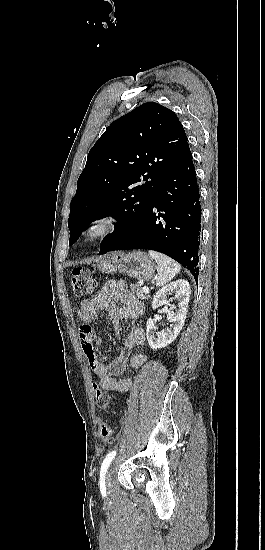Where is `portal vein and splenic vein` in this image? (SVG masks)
Masks as SVG:
<instances>
[{"instance_id":"18ae733b","label":"portal vein and splenic vein","mask_w":265,"mask_h":550,"mask_svg":"<svg viewBox=\"0 0 265 550\" xmlns=\"http://www.w3.org/2000/svg\"><path fill=\"white\" fill-rule=\"evenodd\" d=\"M143 292H144L145 294H148V293H149V288L146 287V286H144V287H143Z\"/></svg>"}]
</instances>
